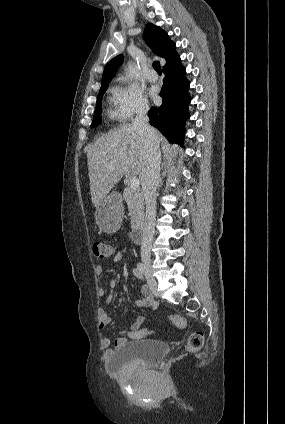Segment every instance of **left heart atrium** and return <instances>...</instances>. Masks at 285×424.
I'll list each match as a JSON object with an SVG mask.
<instances>
[{"label":"left heart atrium","instance_id":"39dd6f15","mask_svg":"<svg viewBox=\"0 0 285 424\" xmlns=\"http://www.w3.org/2000/svg\"><path fill=\"white\" fill-rule=\"evenodd\" d=\"M151 95H152L153 98H155V99L157 98V93H156L155 90L151 91Z\"/></svg>","mask_w":285,"mask_h":424}]
</instances>
